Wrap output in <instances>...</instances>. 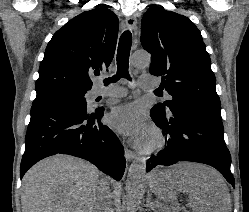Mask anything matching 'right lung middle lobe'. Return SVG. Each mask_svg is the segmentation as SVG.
<instances>
[{
	"instance_id": "1",
	"label": "right lung middle lobe",
	"mask_w": 249,
	"mask_h": 212,
	"mask_svg": "<svg viewBox=\"0 0 249 212\" xmlns=\"http://www.w3.org/2000/svg\"><path fill=\"white\" fill-rule=\"evenodd\" d=\"M85 91H56L36 96L35 104H72L87 107Z\"/></svg>"
}]
</instances>
